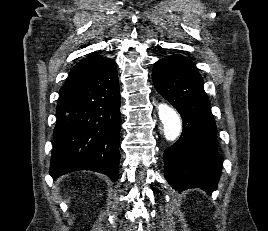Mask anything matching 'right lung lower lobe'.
<instances>
[{
	"label": "right lung lower lobe",
	"mask_w": 268,
	"mask_h": 231,
	"mask_svg": "<svg viewBox=\"0 0 268 231\" xmlns=\"http://www.w3.org/2000/svg\"><path fill=\"white\" fill-rule=\"evenodd\" d=\"M50 162L53 179L76 170L119 176L120 89L116 63L70 85L58 99Z\"/></svg>",
	"instance_id": "right-lung-lower-lobe-1"
}]
</instances>
